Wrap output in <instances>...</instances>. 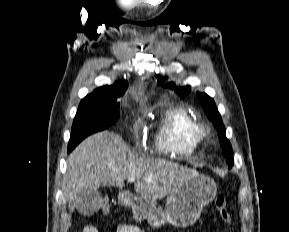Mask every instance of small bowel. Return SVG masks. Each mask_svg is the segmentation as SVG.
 Masks as SVG:
<instances>
[{"mask_svg":"<svg viewBox=\"0 0 289 232\" xmlns=\"http://www.w3.org/2000/svg\"><path fill=\"white\" fill-rule=\"evenodd\" d=\"M82 232H99V230L93 225H88L83 229ZM116 232H145V231L136 225L124 223L120 224L117 227Z\"/></svg>","mask_w":289,"mask_h":232,"instance_id":"1","label":"small bowel"}]
</instances>
